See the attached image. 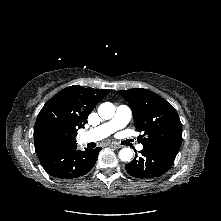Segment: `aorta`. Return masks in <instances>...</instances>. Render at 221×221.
<instances>
[{"label":"aorta","instance_id":"1","mask_svg":"<svg viewBox=\"0 0 221 221\" xmlns=\"http://www.w3.org/2000/svg\"><path fill=\"white\" fill-rule=\"evenodd\" d=\"M99 116L104 120L113 118L115 114V106L110 102L102 103L98 108ZM133 152L130 148H123L119 152V158L121 161L128 162L132 159Z\"/></svg>","mask_w":221,"mask_h":221}]
</instances>
